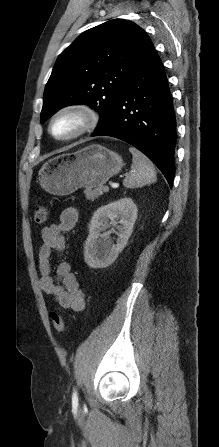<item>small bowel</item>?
I'll use <instances>...</instances> for the list:
<instances>
[{
	"mask_svg": "<svg viewBox=\"0 0 219 447\" xmlns=\"http://www.w3.org/2000/svg\"><path fill=\"white\" fill-rule=\"evenodd\" d=\"M78 221V211L74 207L65 208L59 221L44 227L41 231L42 245L39 249V270L41 289L53 296L63 308L80 312L85 307V292L80 287L68 262H60L55 269L52 266L54 252H64L66 240L64 234L72 230Z\"/></svg>",
	"mask_w": 219,
	"mask_h": 447,
	"instance_id": "obj_1",
	"label": "small bowel"
}]
</instances>
